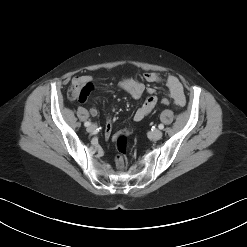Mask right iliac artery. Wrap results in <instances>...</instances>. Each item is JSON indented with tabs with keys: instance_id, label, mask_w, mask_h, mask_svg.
I'll use <instances>...</instances> for the list:
<instances>
[{
	"instance_id": "1",
	"label": "right iliac artery",
	"mask_w": 247,
	"mask_h": 247,
	"mask_svg": "<svg viewBox=\"0 0 247 247\" xmlns=\"http://www.w3.org/2000/svg\"><path fill=\"white\" fill-rule=\"evenodd\" d=\"M90 125H91L90 122H85V123H84V126H86V127H88V126H90Z\"/></svg>"
}]
</instances>
